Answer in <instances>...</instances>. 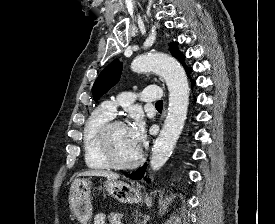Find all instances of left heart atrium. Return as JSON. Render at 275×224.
Returning <instances> with one entry per match:
<instances>
[{"label": "left heart atrium", "mask_w": 275, "mask_h": 224, "mask_svg": "<svg viewBox=\"0 0 275 224\" xmlns=\"http://www.w3.org/2000/svg\"><path fill=\"white\" fill-rule=\"evenodd\" d=\"M127 130L134 144L140 148L145 140V133L142 122L140 120H136L127 127Z\"/></svg>", "instance_id": "1"}]
</instances>
